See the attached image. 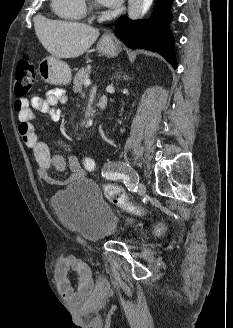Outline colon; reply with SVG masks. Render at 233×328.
<instances>
[{"mask_svg":"<svg viewBox=\"0 0 233 328\" xmlns=\"http://www.w3.org/2000/svg\"><path fill=\"white\" fill-rule=\"evenodd\" d=\"M35 68L27 56L19 60L15 73V94L23 97L29 93L35 82ZM92 167V162H87ZM106 198L113 204L124 208L130 212H138V209L128 199L124 190L113 183H106L103 186Z\"/></svg>","mask_w":233,"mask_h":328,"instance_id":"5ec220e1","label":"colon"}]
</instances>
